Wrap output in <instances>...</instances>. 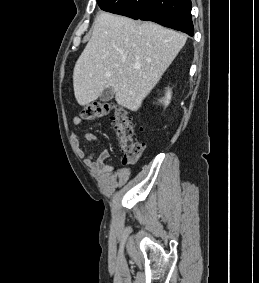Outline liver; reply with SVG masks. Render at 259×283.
<instances>
[{
	"label": "liver",
	"mask_w": 259,
	"mask_h": 283,
	"mask_svg": "<svg viewBox=\"0 0 259 283\" xmlns=\"http://www.w3.org/2000/svg\"><path fill=\"white\" fill-rule=\"evenodd\" d=\"M186 40L153 22L101 12L74 67L77 102L87 105L111 87L120 106L137 111Z\"/></svg>",
	"instance_id": "obj_1"
}]
</instances>
